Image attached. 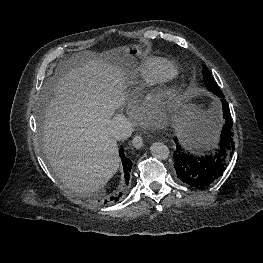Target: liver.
Returning <instances> with one entry per match:
<instances>
[{
	"label": "liver",
	"instance_id": "liver-1",
	"mask_svg": "<svg viewBox=\"0 0 263 263\" xmlns=\"http://www.w3.org/2000/svg\"><path fill=\"white\" fill-rule=\"evenodd\" d=\"M123 48L94 58L88 53L78 56L71 70L53 85V97L46 106V158L61 181L79 193L100 190L119 168L117 142L106 128L126 99L124 68L131 60ZM197 120L191 108H181L180 127Z\"/></svg>",
	"mask_w": 263,
	"mask_h": 263
}]
</instances>
